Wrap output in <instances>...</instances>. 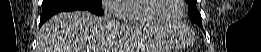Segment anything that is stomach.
Returning a JSON list of instances; mask_svg holds the SVG:
<instances>
[{
    "label": "stomach",
    "instance_id": "1",
    "mask_svg": "<svg viewBox=\"0 0 261 52\" xmlns=\"http://www.w3.org/2000/svg\"><path fill=\"white\" fill-rule=\"evenodd\" d=\"M147 29H155V30H159V28H157V27H150V26H148V27H146ZM155 50H159V51H162V52H165V50H166V48L165 47H155L154 48Z\"/></svg>",
    "mask_w": 261,
    "mask_h": 52
}]
</instances>
